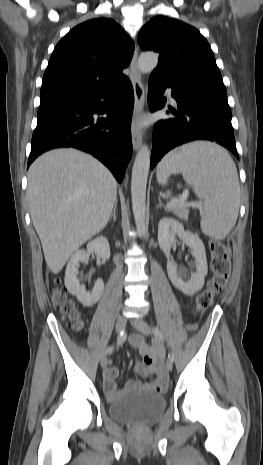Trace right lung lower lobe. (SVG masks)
<instances>
[{"instance_id":"right-lung-lower-lobe-1","label":"right lung lower lobe","mask_w":263,"mask_h":465,"mask_svg":"<svg viewBox=\"0 0 263 465\" xmlns=\"http://www.w3.org/2000/svg\"><path fill=\"white\" fill-rule=\"evenodd\" d=\"M134 93L130 80L40 104L28 167L43 152L74 147L92 154L122 182L132 157L130 123ZM106 114L96 118L94 114Z\"/></svg>"}]
</instances>
